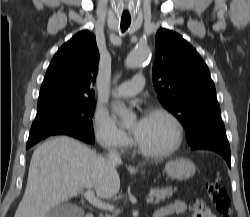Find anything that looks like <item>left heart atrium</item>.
Returning <instances> with one entry per match:
<instances>
[{
  "instance_id": "left-heart-atrium-1",
  "label": "left heart atrium",
  "mask_w": 250,
  "mask_h": 217,
  "mask_svg": "<svg viewBox=\"0 0 250 217\" xmlns=\"http://www.w3.org/2000/svg\"><path fill=\"white\" fill-rule=\"evenodd\" d=\"M145 120H146V116H141L138 121L136 122L135 124V127H134V135H135V138L138 136L142 126L144 125L145 123Z\"/></svg>"
}]
</instances>
